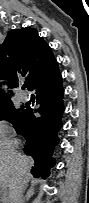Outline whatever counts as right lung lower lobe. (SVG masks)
I'll return each instance as SVG.
<instances>
[{"label":"right lung lower lobe","mask_w":89,"mask_h":203,"mask_svg":"<svg viewBox=\"0 0 89 203\" xmlns=\"http://www.w3.org/2000/svg\"><path fill=\"white\" fill-rule=\"evenodd\" d=\"M29 90L35 91L39 107H26L15 129L27 141L24 152L35 161L31 173L34 177L46 178L50 168L56 164L52 153L59 142L57 132L62 127L64 111V89L58 65L40 76Z\"/></svg>","instance_id":"obj_1"}]
</instances>
